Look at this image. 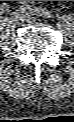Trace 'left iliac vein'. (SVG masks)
<instances>
[{
	"label": "left iliac vein",
	"instance_id": "4c4485c4",
	"mask_svg": "<svg viewBox=\"0 0 74 122\" xmlns=\"http://www.w3.org/2000/svg\"><path fill=\"white\" fill-rule=\"evenodd\" d=\"M18 14L23 18V21L34 22V21L37 20L33 16H30L28 14H25V12L23 11V8H22L21 12H19Z\"/></svg>",
	"mask_w": 74,
	"mask_h": 122
}]
</instances>
